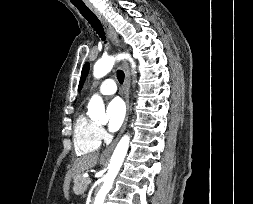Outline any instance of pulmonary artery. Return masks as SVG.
Returning a JSON list of instances; mask_svg holds the SVG:
<instances>
[{
  "mask_svg": "<svg viewBox=\"0 0 253 204\" xmlns=\"http://www.w3.org/2000/svg\"><path fill=\"white\" fill-rule=\"evenodd\" d=\"M117 91L116 82L113 79H105L98 88L101 95H113Z\"/></svg>",
  "mask_w": 253,
  "mask_h": 204,
  "instance_id": "e3ab8cb5",
  "label": "pulmonary artery"
}]
</instances>
